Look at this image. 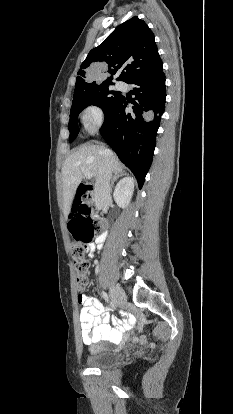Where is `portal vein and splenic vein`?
I'll list each match as a JSON object with an SVG mask.
<instances>
[{
    "label": "portal vein and splenic vein",
    "instance_id": "18ae733b",
    "mask_svg": "<svg viewBox=\"0 0 233 414\" xmlns=\"http://www.w3.org/2000/svg\"><path fill=\"white\" fill-rule=\"evenodd\" d=\"M86 178L87 179H91L92 178L91 174L90 173H86Z\"/></svg>",
    "mask_w": 233,
    "mask_h": 414
}]
</instances>
